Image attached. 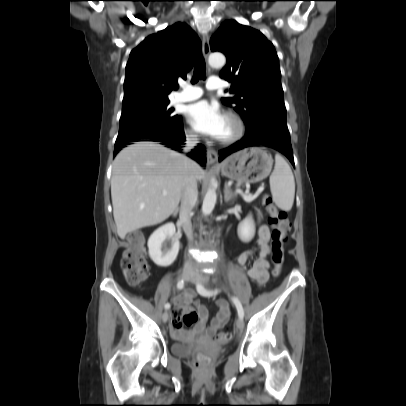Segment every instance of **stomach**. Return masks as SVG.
<instances>
[{
  "instance_id": "0dacf381",
  "label": "stomach",
  "mask_w": 406,
  "mask_h": 406,
  "mask_svg": "<svg viewBox=\"0 0 406 406\" xmlns=\"http://www.w3.org/2000/svg\"><path fill=\"white\" fill-rule=\"evenodd\" d=\"M272 157L260 147H250L238 151L221 164L222 175L242 183H256L265 179L271 172Z\"/></svg>"
}]
</instances>
